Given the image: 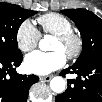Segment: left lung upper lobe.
I'll return each mask as SVG.
<instances>
[{
  "mask_svg": "<svg viewBox=\"0 0 102 102\" xmlns=\"http://www.w3.org/2000/svg\"><path fill=\"white\" fill-rule=\"evenodd\" d=\"M61 12L75 22L82 36L83 50L75 63L94 58L102 59V20L85 9H69Z\"/></svg>",
  "mask_w": 102,
  "mask_h": 102,
  "instance_id": "left-lung-upper-lobe-1",
  "label": "left lung upper lobe"
}]
</instances>
